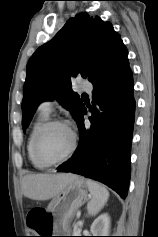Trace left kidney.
<instances>
[{
  "instance_id": "obj_1",
  "label": "left kidney",
  "mask_w": 158,
  "mask_h": 237,
  "mask_svg": "<svg viewBox=\"0 0 158 237\" xmlns=\"http://www.w3.org/2000/svg\"><path fill=\"white\" fill-rule=\"evenodd\" d=\"M110 229V218L108 214H101L94 220L90 231L93 236H108Z\"/></svg>"
}]
</instances>
